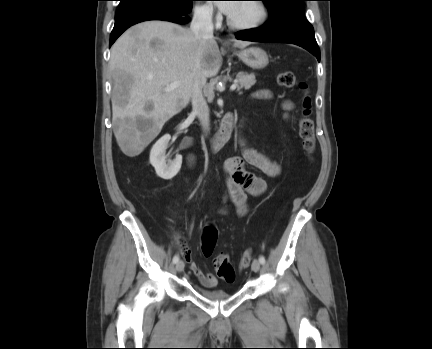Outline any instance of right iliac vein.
<instances>
[{
    "label": "right iliac vein",
    "mask_w": 432,
    "mask_h": 349,
    "mask_svg": "<svg viewBox=\"0 0 432 349\" xmlns=\"http://www.w3.org/2000/svg\"><path fill=\"white\" fill-rule=\"evenodd\" d=\"M184 262L183 261H178L176 264V270L177 272H182L184 270Z\"/></svg>",
    "instance_id": "right-iliac-vein-1"
}]
</instances>
